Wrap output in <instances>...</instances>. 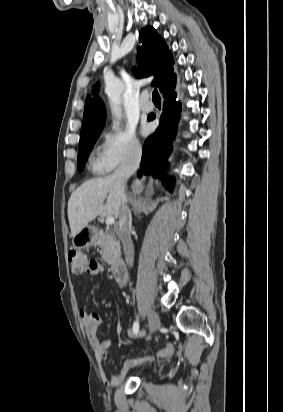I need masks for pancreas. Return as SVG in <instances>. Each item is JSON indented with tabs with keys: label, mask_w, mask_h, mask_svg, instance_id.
<instances>
[{
	"label": "pancreas",
	"mask_w": 283,
	"mask_h": 412,
	"mask_svg": "<svg viewBox=\"0 0 283 412\" xmlns=\"http://www.w3.org/2000/svg\"><path fill=\"white\" fill-rule=\"evenodd\" d=\"M97 244L102 248V259L109 265H115L120 257V244L115 235L100 230L97 235Z\"/></svg>",
	"instance_id": "pancreas-1"
}]
</instances>
